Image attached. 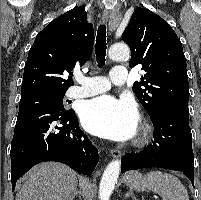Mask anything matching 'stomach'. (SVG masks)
Listing matches in <instances>:
<instances>
[{
	"instance_id": "0dacf381",
	"label": "stomach",
	"mask_w": 201,
	"mask_h": 200,
	"mask_svg": "<svg viewBox=\"0 0 201 200\" xmlns=\"http://www.w3.org/2000/svg\"><path fill=\"white\" fill-rule=\"evenodd\" d=\"M126 183L131 187L132 189H135L136 191H143L146 186L145 178L142 176L141 173L134 172L130 174L126 178Z\"/></svg>"
}]
</instances>
